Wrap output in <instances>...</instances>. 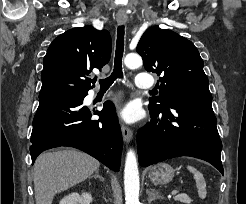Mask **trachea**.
I'll return each mask as SVG.
<instances>
[{
  "mask_svg": "<svg viewBox=\"0 0 246 204\" xmlns=\"http://www.w3.org/2000/svg\"><path fill=\"white\" fill-rule=\"evenodd\" d=\"M124 34V26H119L117 29L114 69L109 77L99 80L101 89L107 90L117 78H123L122 57L124 52Z\"/></svg>",
  "mask_w": 246,
  "mask_h": 204,
  "instance_id": "trachea-1",
  "label": "trachea"
}]
</instances>
